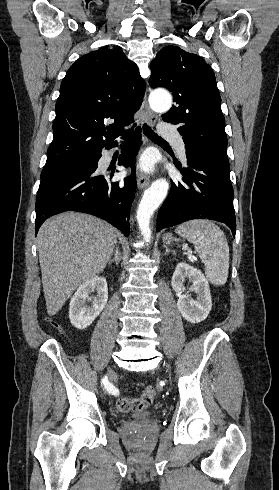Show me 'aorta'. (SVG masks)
I'll use <instances>...</instances> for the list:
<instances>
[{
    "label": "aorta",
    "mask_w": 279,
    "mask_h": 490,
    "mask_svg": "<svg viewBox=\"0 0 279 490\" xmlns=\"http://www.w3.org/2000/svg\"><path fill=\"white\" fill-rule=\"evenodd\" d=\"M149 104L153 111L158 113L167 112L172 105L171 95L166 91H154L150 94ZM169 183L165 179L154 181L144 192L137 210V222L145 242H150L151 228L150 220L155 210L160 206L167 196Z\"/></svg>",
    "instance_id": "aorta-1"
}]
</instances>
